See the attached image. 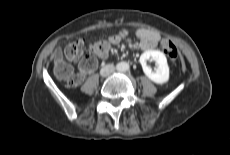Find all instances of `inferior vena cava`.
<instances>
[{
	"label": "inferior vena cava",
	"instance_id": "602c4592",
	"mask_svg": "<svg viewBox=\"0 0 230 155\" xmlns=\"http://www.w3.org/2000/svg\"><path fill=\"white\" fill-rule=\"evenodd\" d=\"M114 70H115L114 66L112 64H108L101 69L100 74L102 76H108L111 73H113Z\"/></svg>",
	"mask_w": 230,
	"mask_h": 155
}]
</instances>
